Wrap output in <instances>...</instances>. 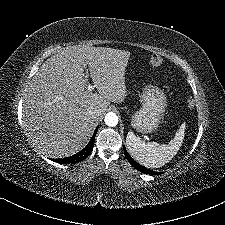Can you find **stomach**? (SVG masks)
I'll list each match as a JSON object with an SVG mask.
<instances>
[{
  "label": "stomach",
  "mask_w": 225,
  "mask_h": 225,
  "mask_svg": "<svg viewBox=\"0 0 225 225\" xmlns=\"http://www.w3.org/2000/svg\"><path fill=\"white\" fill-rule=\"evenodd\" d=\"M165 106L166 100L160 90L154 88L145 90L141 109L131 115V126L138 132L152 133L160 124Z\"/></svg>",
  "instance_id": "0dacf381"
}]
</instances>
